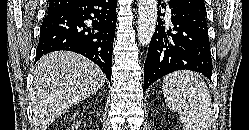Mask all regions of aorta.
Masks as SVG:
<instances>
[{
    "instance_id": "obj_1",
    "label": "aorta",
    "mask_w": 249,
    "mask_h": 130,
    "mask_svg": "<svg viewBox=\"0 0 249 130\" xmlns=\"http://www.w3.org/2000/svg\"><path fill=\"white\" fill-rule=\"evenodd\" d=\"M137 37L141 46L150 44L157 22V0H139Z\"/></svg>"
}]
</instances>
